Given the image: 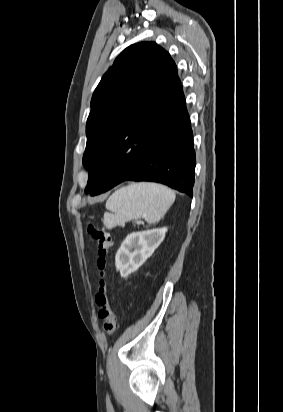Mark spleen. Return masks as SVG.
Listing matches in <instances>:
<instances>
[{
	"label": "spleen",
	"mask_w": 283,
	"mask_h": 412,
	"mask_svg": "<svg viewBox=\"0 0 283 412\" xmlns=\"http://www.w3.org/2000/svg\"><path fill=\"white\" fill-rule=\"evenodd\" d=\"M175 201V193L166 186L140 182L115 191L107 200L110 213L104 215V226L112 229L133 219L144 218L148 224L159 222Z\"/></svg>",
	"instance_id": "3e777b00"
}]
</instances>
